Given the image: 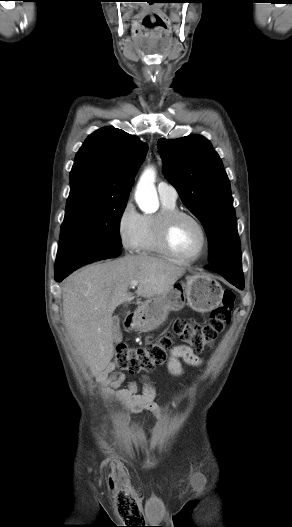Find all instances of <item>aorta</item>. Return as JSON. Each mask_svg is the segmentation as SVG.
<instances>
[{
	"label": "aorta",
	"mask_w": 292,
	"mask_h": 527,
	"mask_svg": "<svg viewBox=\"0 0 292 527\" xmlns=\"http://www.w3.org/2000/svg\"><path fill=\"white\" fill-rule=\"evenodd\" d=\"M156 171L148 167L140 176L137 184L135 200L140 209L146 213L155 212L158 208V197L155 188Z\"/></svg>",
	"instance_id": "aorta-1"
}]
</instances>
